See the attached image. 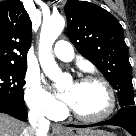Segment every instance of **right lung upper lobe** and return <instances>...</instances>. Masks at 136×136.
Instances as JSON below:
<instances>
[{
  "label": "right lung upper lobe",
  "mask_w": 136,
  "mask_h": 136,
  "mask_svg": "<svg viewBox=\"0 0 136 136\" xmlns=\"http://www.w3.org/2000/svg\"><path fill=\"white\" fill-rule=\"evenodd\" d=\"M31 26L21 1L0 2V65H27Z\"/></svg>",
  "instance_id": "obj_1"
}]
</instances>
